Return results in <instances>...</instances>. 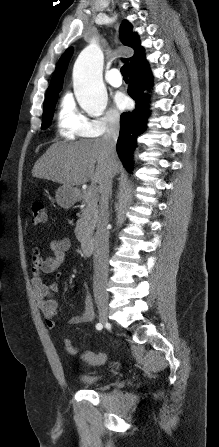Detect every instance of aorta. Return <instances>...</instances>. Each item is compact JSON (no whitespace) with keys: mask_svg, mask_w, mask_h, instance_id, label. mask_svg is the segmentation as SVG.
I'll return each mask as SVG.
<instances>
[{"mask_svg":"<svg viewBox=\"0 0 219 447\" xmlns=\"http://www.w3.org/2000/svg\"><path fill=\"white\" fill-rule=\"evenodd\" d=\"M103 53L90 44L79 54L73 68V83L80 107L90 115L100 116L107 106V92L102 81Z\"/></svg>","mask_w":219,"mask_h":447,"instance_id":"aorta-1","label":"aorta"}]
</instances>
